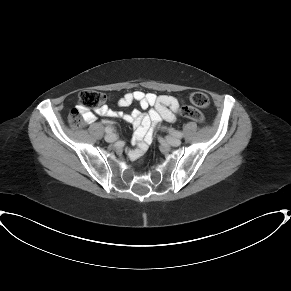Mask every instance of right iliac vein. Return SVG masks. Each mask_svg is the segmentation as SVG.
<instances>
[{"mask_svg": "<svg viewBox=\"0 0 291 291\" xmlns=\"http://www.w3.org/2000/svg\"><path fill=\"white\" fill-rule=\"evenodd\" d=\"M105 140L107 142H115L117 140V136L113 133H110L105 136Z\"/></svg>", "mask_w": 291, "mask_h": 291, "instance_id": "right-iliac-vein-1", "label": "right iliac vein"}]
</instances>
